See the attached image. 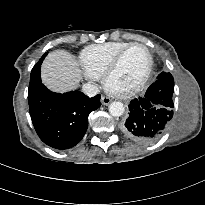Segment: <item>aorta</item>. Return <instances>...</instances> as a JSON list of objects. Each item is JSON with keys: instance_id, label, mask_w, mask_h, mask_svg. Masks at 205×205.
<instances>
[{"instance_id": "obj_1", "label": "aorta", "mask_w": 205, "mask_h": 205, "mask_svg": "<svg viewBox=\"0 0 205 205\" xmlns=\"http://www.w3.org/2000/svg\"><path fill=\"white\" fill-rule=\"evenodd\" d=\"M125 108L122 102L114 101L109 105V113L114 117H120L124 114Z\"/></svg>"}]
</instances>
